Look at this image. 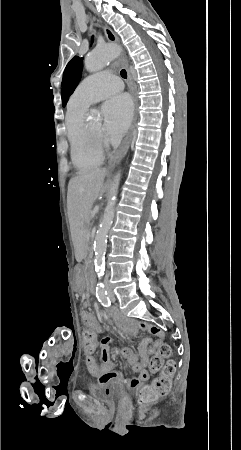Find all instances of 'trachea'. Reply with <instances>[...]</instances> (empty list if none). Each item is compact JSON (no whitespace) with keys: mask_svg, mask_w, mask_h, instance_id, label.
<instances>
[{"mask_svg":"<svg viewBox=\"0 0 241 450\" xmlns=\"http://www.w3.org/2000/svg\"><path fill=\"white\" fill-rule=\"evenodd\" d=\"M121 76H122L123 78H127V72H126V70H121Z\"/></svg>","mask_w":241,"mask_h":450,"instance_id":"1","label":"trachea"}]
</instances>
